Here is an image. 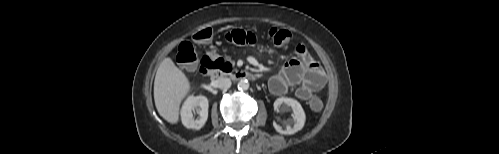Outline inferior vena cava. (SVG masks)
Returning a JSON list of instances; mask_svg holds the SVG:
<instances>
[{
	"label": "inferior vena cava",
	"instance_id": "obj_1",
	"mask_svg": "<svg viewBox=\"0 0 499 154\" xmlns=\"http://www.w3.org/2000/svg\"><path fill=\"white\" fill-rule=\"evenodd\" d=\"M215 85L220 89H228L231 86V80L229 78L222 77L215 81Z\"/></svg>",
	"mask_w": 499,
	"mask_h": 154
}]
</instances>
